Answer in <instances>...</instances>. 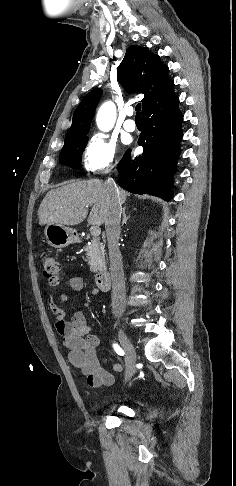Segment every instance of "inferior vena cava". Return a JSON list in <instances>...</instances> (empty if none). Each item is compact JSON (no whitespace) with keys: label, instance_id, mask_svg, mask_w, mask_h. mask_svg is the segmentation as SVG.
Segmentation results:
<instances>
[{"label":"inferior vena cava","instance_id":"obj_1","mask_svg":"<svg viewBox=\"0 0 236 486\" xmlns=\"http://www.w3.org/2000/svg\"><path fill=\"white\" fill-rule=\"evenodd\" d=\"M104 185L109 196V210L105 219V229L110 259L109 269L112 279V310L114 314H121L125 308L126 297L122 256L119 250L122 202L119 189L113 178L105 180Z\"/></svg>","mask_w":236,"mask_h":486}]
</instances>
